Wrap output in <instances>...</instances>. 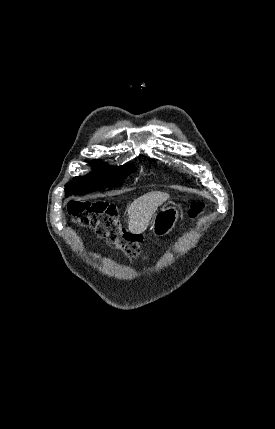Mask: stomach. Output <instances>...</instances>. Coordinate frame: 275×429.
Listing matches in <instances>:
<instances>
[{
    "label": "stomach",
    "mask_w": 275,
    "mask_h": 429,
    "mask_svg": "<svg viewBox=\"0 0 275 429\" xmlns=\"http://www.w3.org/2000/svg\"><path fill=\"white\" fill-rule=\"evenodd\" d=\"M179 211L175 206L163 208L157 212L151 222V230L155 236H164L175 227Z\"/></svg>",
    "instance_id": "0dacf381"
}]
</instances>
